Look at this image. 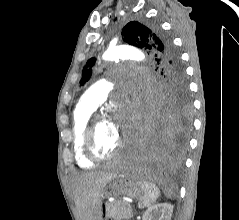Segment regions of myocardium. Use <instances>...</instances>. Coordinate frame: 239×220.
Returning <instances> with one entry per match:
<instances>
[{
  "label": "myocardium",
  "mask_w": 239,
  "mask_h": 220,
  "mask_svg": "<svg viewBox=\"0 0 239 220\" xmlns=\"http://www.w3.org/2000/svg\"><path fill=\"white\" fill-rule=\"evenodd\" d=\"M107 121V118L104 115L100 114H94L90 117L88 120V123L86 125L84 135H83V147L86 156L91 159L92 161H108L110 159H113L115 156L119 154V152L124 147V142L120 139L115 149L106 154L102 155L99 154L95 148V128L99 122Z\"/></svg>",
  "instance_id": "myocardium-1"
}]
</instances>
